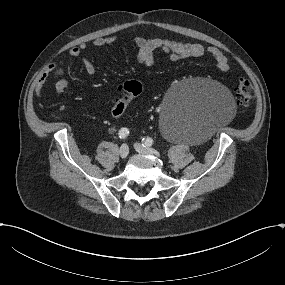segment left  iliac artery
Here are the masks:
<instances>
[{
    "instance_id": "44dca946",
    "label": "left iliac artery",
    "mask_w": 285,
    "mask_h": 285,
    "mask_svg": "<svg viewBox=\"0 0 285 285\" xmlns=\"http://www.w3.org/2000/svg\"><path fill=\"white\" fill-rule=\"evenodd\" d=\"M152 144H153V139L152 138L147 137L146 139H144L143 146L150 147V146H152ZM156 153H157V151H156Z\"/></svg>"
}]
</instances>
